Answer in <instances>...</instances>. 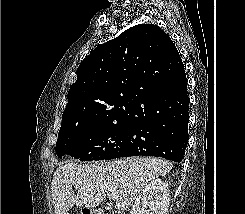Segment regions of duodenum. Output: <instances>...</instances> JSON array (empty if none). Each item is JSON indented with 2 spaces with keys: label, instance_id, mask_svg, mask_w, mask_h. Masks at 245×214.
I'll return each instance as SVG.
<instances>
[{
  "label": "duodenum",
  "instance_id": "410a0bca",
  "mask_svg": "<svg viewBox=\"0 0 245 214\" xmlns=\"http://www.w3.org/2000/svg\"><path fill=\"white\" fill-rule=\"evenodd\" d=\"M84 214H102V212L99 211V210H91V211H87V212L84 213Z\"/></svg>",
  "mask_w": 245,
  "mask_h": 214
}]
</instances>
